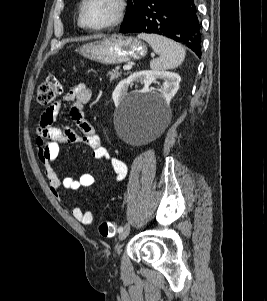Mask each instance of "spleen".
Masks as SVG:
<instances>
[{"label": "spleen", "mask_w": 267, "mask_h": 301, "mask_svg": "<svg viewBox=\"0 0 267 301\" xmlns=\"http://www.w3.org/2000/svg\"><path fill=\"white\" fill-rule=\"evenodd\" d=\"M138 38L145 40L159 55V58L150 62V68L154 71L174 69L181 65L185 59V49L171 39L144 33L139 34Z\"/></svg>", "instance_id": "spleen-1"}]
</instances>
